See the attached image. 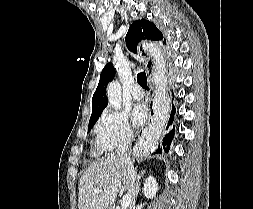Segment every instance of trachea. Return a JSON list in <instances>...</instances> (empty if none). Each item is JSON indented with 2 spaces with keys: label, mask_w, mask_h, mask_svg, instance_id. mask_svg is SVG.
<instances>
[{
  "label": "trachea",
  "mask_w": 253,
  "mask_h": 209,
  "mask_svg": "<svg viewBox=\"0 0 253 209\" xmlns=\"http://www.w3.org/2000/svg\"><path fill=\"white\" fill-rule=\"evenodd\" d=\"M137 82L142 86L143 89L148 90L147 76L145 72H141L137 75Z\"/></svg>",
  "instance_id": "1"
}]
</instances>
